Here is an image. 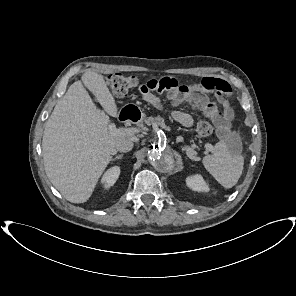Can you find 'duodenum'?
Here are the masks:
<instances>
[{
  "label": "duodenum",
  "instance_id": "410a0bca",
  "mask_svg": "<svg viewBox=\"0 0 296 296\" xmlns=\"http://www.w3.org/2000/svg\"><path fill=\"white\" fill-rule=\"evenodd\" d=\"M119 117L123 121H136L139 117V113L137 110L127 109L123 110Z\"/></svg>",
  "mask_w": 296,
  "mask_h": 296
}]
</instances>
